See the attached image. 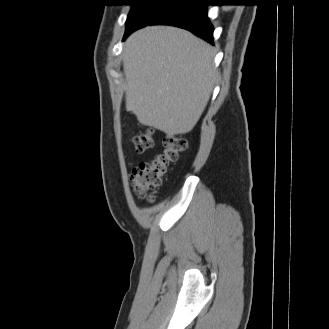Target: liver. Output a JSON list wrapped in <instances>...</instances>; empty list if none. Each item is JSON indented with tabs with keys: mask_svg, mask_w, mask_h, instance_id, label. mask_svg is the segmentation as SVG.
<instances>
[{
	"mask_svg": "<svg viewBox=\"0 0 329 329\" xmlns=\"http://www.w3.org/2000/svg\"><path fill=\"white\" fill-rule=\"evenodd\" d=\"M213 57L209 44L183 29L134 32L123 50L126 110L169 137L191 131L214 86Z\"/></svg>",
	"mask_w": 329,
	"mask_h": 329,
	"instance_id": "obj_1",
	"label": "liver"
}]
</instances>
